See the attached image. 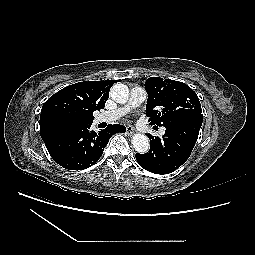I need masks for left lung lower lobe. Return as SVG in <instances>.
I'll return each mask as SVG.
<instances>
[{
  "label": "left lung lower lobe",
  "mask_w": 255,
  "mask_h": 255,
  "mask_svg": "<svg viewBox=\"0 0 255 255\" xmlns=\"http://www.w3.org/2000/svg\"><path fill=\"white\" fill-rule=\"evenodd\" d=\"M202 118L165 126L163 138L147 134L150 150L136 153L138 164L156 174H168L178 169L189 158L198 139Z\"/></svg>",
  "instance_id": "left-lung-lower-lobe-1"
}]
</instances>
